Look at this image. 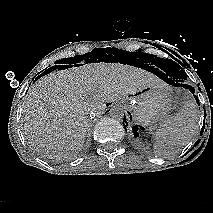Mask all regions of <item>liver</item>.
<instances>
[{"mask_svg":"<svg viewBox=\"0 0 213 213\" xmlns=\"http://www.w3.org/2000/svg\"><path fill=\"white\" fill-rule=\"evenodd\" d=\"M152 86H164L152 73L120 63H89L39 78L23 103L27 143L43 157L75 156L83 147L88 114L106 103Z\"/></svg>","mask_w":213,"mask_h":213,"instance_id":"liver-1","label":"liver"}]
</instances>
